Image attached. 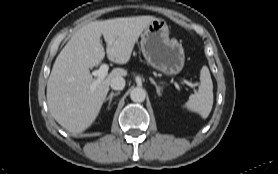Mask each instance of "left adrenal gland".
Here are the masks:
<instances>
[{"instance_id": "1", "label": "left adrenal gland", "mask_w": 278, "mask_h": 174, "mask_svg": "<svg viewBox=\"0 0 278 174\" xmlns=\"http://www.w3.org/2000/svg\"><path fill=\"white\" fill-rule=\"evenodd\" d=\"M150 81L156 87L157 94L161 96L162 87L158 86L153 78H150Z\"/></svg>"}]
</instances>
